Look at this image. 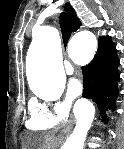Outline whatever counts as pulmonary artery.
<instances>
[{"mask_svg": "<svg viewBox=\"0 0 124 149\" xmlns=\"http://www.w3.org/2000/svg\"><path fill=\"white\" fill-rule=\"evenodd\" d=\"M65 69H66V73H68V74L73 73V66H72L71 62L65 63Z\"/></svg>", "mask_w": 124, "mask_h": 149, "instance_id": "e3ab8cb5", "label": "pulmonary artery"}]
</instances>
